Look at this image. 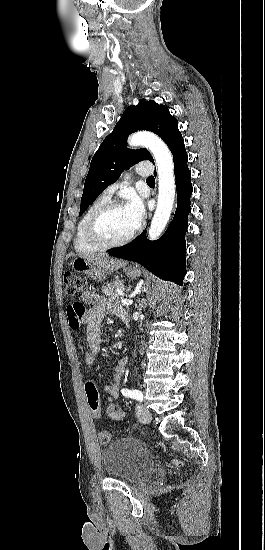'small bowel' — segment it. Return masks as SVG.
Returning a JSON list of instances; mask_svg holds the SVG:
<instances>
[{
  "instance_id": "1",
  "label": "small bowel",
  "mask_w": 265,
  "mask_h": 550,
  "mask_svg": "<svg viewBox=\"0 0 265 550\" xmlns=\"http://www.w3.org/2000/svg\"><path fill=\"white\" fill-rule=\"evenodd\" d=\"M81 300L85 303H91V308L86 310L85 307H83L82 313L79 314L81 306L77 303L70 305L67 310L68 320L75 319L78 321L77 326L71 327L74 331V338L77 341L80 338L82 326H86L87 345L78 341L77 348L82 353L83 363L85 365H91L102 353L100 331L104 318L112 314L119 317L123 323H127L128 314L120 305L109 301L104 296L93 291L84 292L81 296ZM127 365L128 359L125 357L121 358L114 369L111 383L104 387L108 401L106 415L113 421H121L125 417L124 411L120 406L115 404L114 400L119 396L121 382ZM94 418L100 417L94 416Z\"/></svg>"
}]
</instances>
